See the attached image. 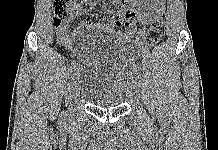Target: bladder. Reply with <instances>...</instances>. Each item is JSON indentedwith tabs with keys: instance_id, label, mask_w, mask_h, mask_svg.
<instances>
[{
	"instance_id": "1",
	"label": "bladder",
	"mask_w": 218,
	"mask_h": 150,
	"mask_svg": "<svg viewBox=\"0 0 218 150\" xmlns=\"http://www.w3.org/2000/svg\"><path fill=\"white\" fill-rule=\"evenodd\" d=\"M75 77L80 94L91 104L109 108L124 103L132 91L135 75L118 43L107 33L93 31L81 42Z\"/></svg>"
}]
</instances>
